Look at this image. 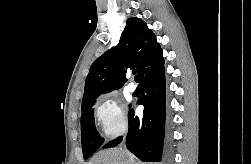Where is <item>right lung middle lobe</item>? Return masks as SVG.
<instances>
[{
    "mask_svg": "<svg viewBox=\"0 0 251 164\" xmlns=\"http://www.w3.org/2000/svg\"><path fill=\"white\" fill-rule=\"evenodd\" d=\"M95 101L82 108L81 114V138L84 159H88L103 143L104 139L99 135L94 123Z\"/></svg>",
    "mask_w": 251,
    "mask_h": 164,
    "instance_id": "obj_1",
    "label": "right lung middle lobe"
}]
</instances>
